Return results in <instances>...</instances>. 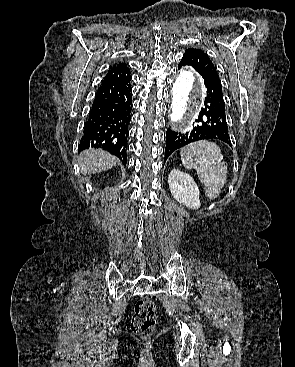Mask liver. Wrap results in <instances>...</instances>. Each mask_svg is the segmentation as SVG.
Wrapping results in <instances>:
<instances>
[{
    "label": "liver",
    "instance_id": "liver-1",
    "mask_svg": "<svg viewBox=\"0 0 295 367\" xmlns=\"http://www.w3.org/2000/svg\"><path fill=\"white\" fill-rule=\"evenodd\" d=\"M117 159L102 149H88L79 157L80 171L83 175L100 173L112 168Z\"/></svg>",
    "mask_w": 295,
    "mask_h": 367
}]
</instances>
